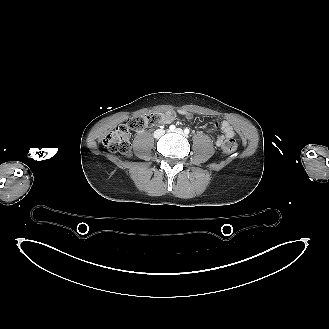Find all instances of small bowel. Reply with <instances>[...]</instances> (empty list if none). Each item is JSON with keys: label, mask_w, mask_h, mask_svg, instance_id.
Instances as JSON below:
<instances>
[{"label": "small bowel", "mask_w": 329, "mask_h": 329, "mask_svg": "<svg viewBox=\"0 0 329 329\" xmlns=\"http://www.w3.org/2000/svg\"><path fill=\"white\" fill-rule=\"evenodd\" d=\"M178 113H179L180 115H186V116H188V113L185 112V111H183V110H180ZM174 118H175V117L167 118V119L164 121V123H170V122H172V121L174 120ZM213 127H214L215 129H218L219 127L221 128L220 133H221L222 135L219 136L218 139H217V141H216L217 146H220V145L223 143L224 139L232 138V137H234V135H235V132H234L233 127H232L231 124H230L228 121H226V120H223V121H221L220 123L215 122V123L213 124Z\"/></svg>", "instance_id": "c3829d8e"}]
</instances>
